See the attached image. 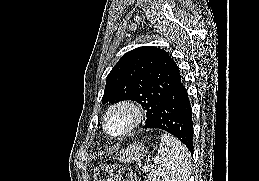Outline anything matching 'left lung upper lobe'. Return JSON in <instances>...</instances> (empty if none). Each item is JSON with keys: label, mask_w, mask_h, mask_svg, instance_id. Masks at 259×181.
<instances>
[{"label": "left lung upper lobe", "mask_w": 259, "mask_h": 181, "mask_svg": "<svg viewBox=\"0 0 259 181\" xmlns=\"http://www.w3.org/2000/svg\"><path fill=\"white\" fill-rule=\"evenodd\" d=\"M180 78L178 66L166 51L138 47L124 54L108 74L102 103L135 100L147 111L148 124Z\"/></svg>", "instance_id": "1"}]
</instances>
